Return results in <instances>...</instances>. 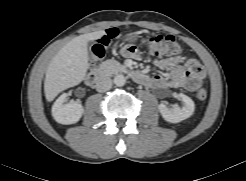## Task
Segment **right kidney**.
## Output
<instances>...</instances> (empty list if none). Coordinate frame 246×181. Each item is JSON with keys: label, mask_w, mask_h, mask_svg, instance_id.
I'll return each instance as SVG.
<instances>
[{"label": "right kidney", "mask_w": 246, "mask_h": 181, "mask_svg": "<svg viewBox=\"0 0 246 181\" xmlns=\"http://www.w3.org/2000/svg\"><path fill=\"white\" fill-rule=\"evenodd\" d=\"M67 95L62 94L52 106V116L56 122L60 124L77 123L83 115L84 109L82 105L76 101L63 104Z\"/></svg>", "instance_id": "right-kidney-1"}]
</instances>
